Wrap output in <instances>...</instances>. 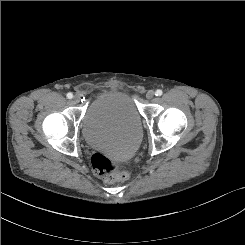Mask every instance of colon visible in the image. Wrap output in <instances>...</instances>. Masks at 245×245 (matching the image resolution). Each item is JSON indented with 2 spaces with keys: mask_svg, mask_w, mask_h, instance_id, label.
Returning <instances> with one entry per match:
<instances>
[{
  "mask_svg": "<svg viewBox=\"0 0 245 245\" xmlns=\"http://www.w3.org/2000/svg\"><path fill=\"white\" fill-rule=\"evenodd\" d=\"M91 164L95 174L107 182L125 181L129 178V174L122 170L119 163L103 154H94Z\"/></svg>",
  "mask_w": 245,
  "mask_h": 245,
  "instance_id": "colon-1",
  "label": "colon"
}]
</instances>
